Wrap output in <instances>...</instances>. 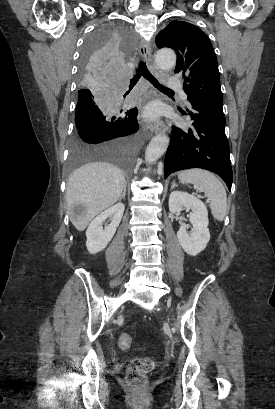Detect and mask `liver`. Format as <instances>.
Wrapping results in <instances>:
<instances>
[{"label": "liver", "instance_id": "liver-1", "mask_svg": "<svg viewBox=\"0 0 275 409\" xmlns=\"http://www.w3.org/2000/svg\"><path fill=\"white\" fill-rule=\"evenodd\" d=\"M125 184L123 170L110 162H87L73 170L66 190L69 215L74 202H83L86 207L82 221H71L75 229L84 231L96 215L114 205Z\"/></svg>", "mask_w": 275, "mask_h": 409}]
</instances>
